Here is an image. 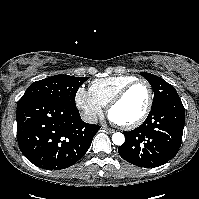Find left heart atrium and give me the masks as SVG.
I'll return each instance as SVG.
<instances>
[{
	"label": "left heart atrium",
	"instance_id": "1",
	"mask_svg": "<svg viewBox=\"0 0 199 199\" xmlns=\"http://www.w3.org/2000/svg\"><path fill=\"white\" fill-rule=\"evenodd\" d=\"M109 119L114 123H118V121L111 114H109Z\"/></svg>",
	"mask_w": 199,
	"mask_h": 199
}]
</instances>
